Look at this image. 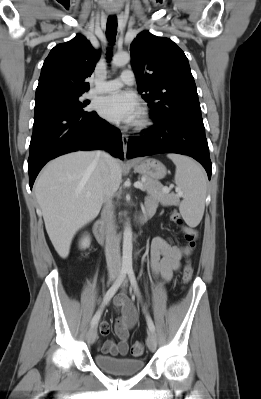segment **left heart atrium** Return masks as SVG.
Instances as JSON below:
<instances>
[{
    "label": "left heart atrium",
    "instance_id": "obj_1",
    "mask_svg": "<svg viewBox=\"0 0 261 399\" xmlns=\"http://www.w3.org/2000/svg\"><path fill=\"white\" fill-rule=\"evenodd\" d=\"M97 109L102 117L117 123H133L140 116V109L134 96L124 91L100 98Z\"/></svg>",
    "mask_w": 261,
    "mask_h": 399
}]
</instances>
